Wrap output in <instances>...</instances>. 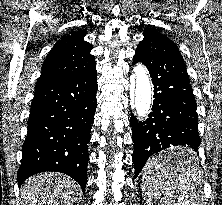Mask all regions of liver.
<instances>
[{"label":"liver","instance_id":"1","mask_svg":"<svg viewBox=\"0 0 222 205\" xmlns=\"http://www.w3.org/2000/svg\"><path fill=\"white\" fill-rule=\"evenodd\" d=\"M80 186L60 173H41L21 187V205H73L78 198Z\"/></svg>","mask_w":222,"mask_h":205}]
</instances>
